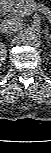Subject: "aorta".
Segmentation results:
<instances>
[{
    "label": "aorta",
    "mask_w": 51,
    "mask_h": 153,
    "mask_svg": "<svg viewBox=\"0 0 51 153\" xmlns=\"http://www.w3.org/2000/svg\"><path fill=\"white\" fill-rule=\"evenodd\" d=\"M40 38V30L36 27H28L21 34V42L26 45H36Z\"/></svg>",
    "instance_id": "aorta-1"
}]
</instances>
